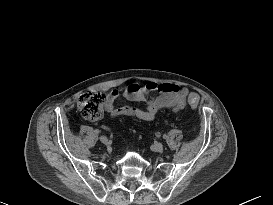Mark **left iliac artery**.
<instances>
[{
  "label": "left iliac artery",
  "instance_id": "1",
  "mask_svg": "<svg viewBox=\"0 0 273 205\" xmlns=\"http://www.w3.org/2000/svg\"><path fill=\"white\" fill-rule=\"evenodd\" d=\"M163 138H164V139H167V135H163Z\"/></svg>",
  "mask_w": 273,
  "mask_h": 205
}]
</instances>
